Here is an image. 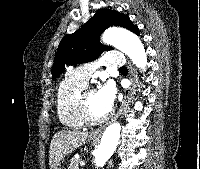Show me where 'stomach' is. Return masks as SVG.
<instances>
[{"label":"stomach","instance_id":"1","mask_svg":"<svg viewBox=\"0 0 200 169\" xmlns=\"http://www.w3.org/2000/svg\"><path fill=\"white\" fill-rule=\"evenodd\" d=\"M89 140L92 142V143H94L96 140H94L93 138H91V137H89ZM55 169H62L61 167H60V165L59 166H57Z\"/></svg>","mask_w":200,"mask_h":169}]
</instances>
